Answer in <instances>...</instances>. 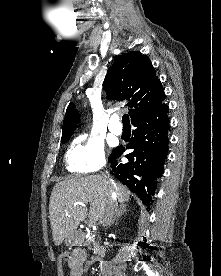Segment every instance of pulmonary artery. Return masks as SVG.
I'll list each match as a JSON object with an SVG mask.
<instances>
[{
	"instance_id": "1",
	"label": "pulmonary artery",
	"mask_w": 221,
	"mask_h": 276,
	"mask_svg": "<svg viewBox=\"0 0 221 276\" xmlns=\"http://www.w3.org/2000/svg\"><path fill=\"white\" fill-rule=\"evenodd\" d=\"M109 130L116 134V135H119L122 133V125L120 124L119 122V118L117 115H114L110 122H109Z\"/></svg>"
}]
</instances>
